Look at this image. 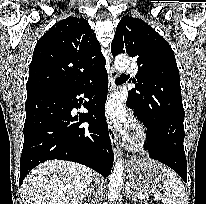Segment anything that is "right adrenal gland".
Listing matches in <instances>:
<instances>
[{
    "mask_svg": "<svg viewBox=\"0 0 206 204\" xmlns=\"http://www.w3.org/2000/svg\"><path fill=\"white\" fill-rule=\"evenodd\" d=\"M88 194H91V190H89V191L87 192V195H88ZM88 197H90V196H88Z\"/></svg>",
    "mask_w": 206,
    "mask_h": 204,
    "instance_id": "right-adrenal-gland-1",
    "label": "right adrenal gland"
}]
</instances>
